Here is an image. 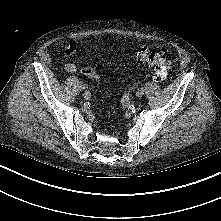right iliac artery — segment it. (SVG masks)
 Returning a JSON list of instances; mask_svg holds the SVG:
<instances>
[{
	"label": "right iliac artery",
	"instance_id": "82829eb1",
	"mask_svg": "<svg viewBox=\"0 0 221 221\" xmlns=\"http://www.w3.org/2000/svg\"><path fill=\"white\" fill-rule=\"evenodd\" d=\"M83 97L86 99V100H89L91 98V93L89 91H85V93L83 94Z\"/></svg>",
	"mask_w": 221,
	"mask_h": 221
}]
</instances>
